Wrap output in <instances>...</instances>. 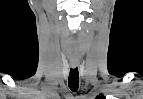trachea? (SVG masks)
<instances>
[{
    "instance_id": "obj_1",
    "label": "trachea",
    "mask_w": 143,
    "mask_h": 99,
    "mask_svg": "<svg viewBox=\"0 0 143 99\" xmlns=\"http://www.w3.org/2000/svg\"><path fill=\"white\" fill-rule=\"evenodd\" d=\"M68 85L71 91L76 92L79 87V72L77 68H71L68 78Z\"/></svg>"
}]
</instances>
